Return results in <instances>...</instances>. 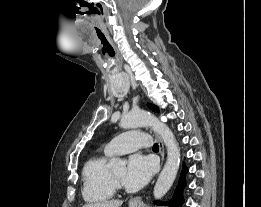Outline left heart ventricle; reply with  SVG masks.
<instances>
[{
  "mask_svg": "<svg viewBox=\"0 0 261 207\" xmlns=\"http://www.w3.org/2000/svg\"><path fill=\"white\" fill-rule=\"evenodd\" d=\"M126 172V168L124 166L113 169L114 175L123 183V178Z\"/></svg>",
  "mask_w": 261,
  "mask_h": 207,
  "instance_id": "obj_1",
  "label": "left heart ventricle"
}]
</instances>
